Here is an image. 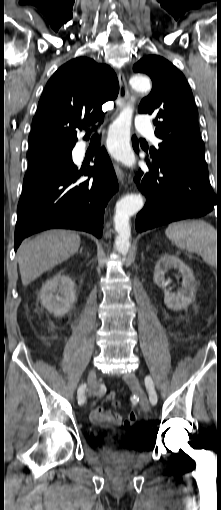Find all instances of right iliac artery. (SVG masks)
Here are the masks:
<instances>
[{"label":"right iliac artery","mask_w":221,"mask_h":510,"mask_svg":"<svg viewBox=\"0 0 221 510\" xmlns=\"http://www.w3.org/2000/svg\"><path fill=\"white\" fill-rule=\"evenodd\" d=\"M85 391H86V384H81L78 389V403L84 404L85 402Z\"/></svg>","instance_id":"right-iliac-artery-1"}]
</instances>
